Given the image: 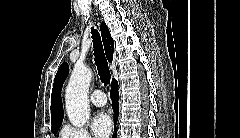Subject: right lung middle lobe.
Returning a JSON list of instances; mask_svg holds the SVG:
<instances>
[{"label": "right lung middle lobe", "mask_w": 240, "mask_h": 138, "mask_svg": "<svg viewBox=\"0 0 240 138\" xmlns=\"http://www.w3.org/2000/svg\"><path fill=\"white\" fill-rule=\"evenodd\" d=\"M59 127H60V125L52 126V127H51L52 133H53V134H56V132L58 131Z\"/></svg>", "instance_id": "obj_1"}]
</instances>
